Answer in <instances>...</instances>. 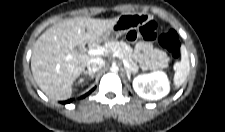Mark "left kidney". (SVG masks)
Returning <instances> with one entry per match:
<instances>
[{"instance_id":"1","label":"left kidney","mask_w":225,"mask_h":132,"mask_svg":"<svg viewBox=\"0 0 225 132\" xmlns=\"http://www.w3.org/2000/svg\"><path fill=\"white\" fill-rule=\"evenodd\" d=\"M133 89L146 100H159L169 93L170 84L163 71H155L135 77Z\"/></svg>"}]
</instances>
